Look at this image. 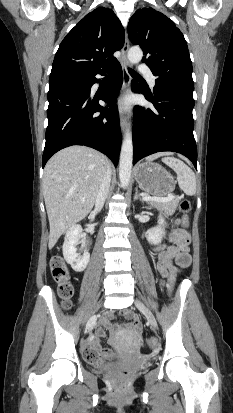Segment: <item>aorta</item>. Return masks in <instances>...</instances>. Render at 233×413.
<instances>
[{
    "mask_svg": "<svg viewBox=\"0 0 233 413\" xmlns=\"http://www.w3.org/2000/svg\"><path fill=\"white\" fill-rule=\"evenodd\" d=\"M128 60L131 64H137L142 60L143 52L140 47H131L128 51ZM133 162V141L132 133L128 129L125 133L124 140L121 146L120 161H119V179L123 189L129 185L131 178Z\"/></svg>",
    "mask_w": 233,
    "mask_h": 413,
    "instance_id": "1",
    "label": "aorta"
}]
</instances>
